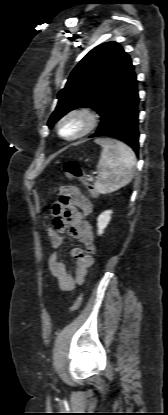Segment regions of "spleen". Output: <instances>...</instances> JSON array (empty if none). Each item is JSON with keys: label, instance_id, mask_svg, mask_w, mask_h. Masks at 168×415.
Instances as JSON below:
<instances>
[{"label": "spleen", "instance_id": "obj_1", "mask_svg": "<svg viewBox=\"0 0 168 415\" xmlns=\"http://www.w3.org/2000/svg\"><path fill=\"white\" fill-rule=\"evenodd\" d=\"M102 147L97 164L95 188L100 194L114 192L129 184L134 176L136 157L133 150L114 139H96Z\"/></svg>", "mask_w": 168, "mask_h": 415}]
</instances>
